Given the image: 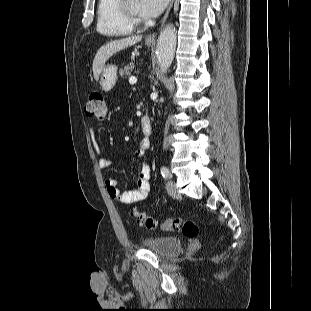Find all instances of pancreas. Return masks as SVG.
Masks as SVG:
<instances>
[{
  "mask_svg": "<svg viewBox=\"0 0 311 311\" xmlns=\"http://www.w3.org/2000/svg\"><path fill=\"white\" fill-rule=\"evenodd\" d=\"M133 69H134V64L133 63L127 64L122 69H120L119 74L121 76H130V74L133 71Z\"/></svg>",
  "mask_w": 311,
  "mask_h": 311,
  "instance_id": "cf45deb5",
  "label": "pancreas"
}]
</instances>
